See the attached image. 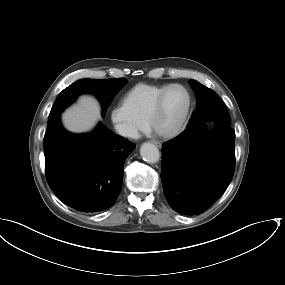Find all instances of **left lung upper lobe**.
<instances>
[{"instance_id": "left-lung-upper-lobe-1", "label": "left lung upper lobe", "mask_w": 285, "mask_h": 285, "mask_svg": "<svg viewBox=\"0 0 285 285\" xmlns=\"http://www.w3.org/2000/svg\"><path fill=\"white\" fill-rule=\"evenodd\" d=\"M189 83L195 91L197 106L187 127L198 124L202 119H216L222 123L231 124L225 105L218 107L223 102L212 89L195 80H190Z\"/></svg>"}]
</instances>
